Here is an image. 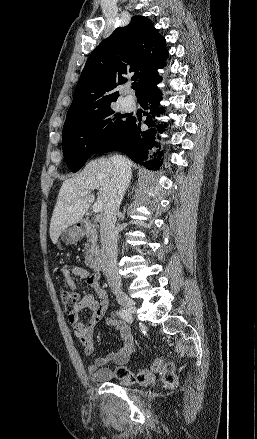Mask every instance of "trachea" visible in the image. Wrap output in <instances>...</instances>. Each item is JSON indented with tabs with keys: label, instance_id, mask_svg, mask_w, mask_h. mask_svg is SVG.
<instances>
[{
	"label": "trachea",
	"instance_id": "obj_1",
	"mask_svg": "<svg viewBox=\"0 0 257 439\" xmlns=\"http://www.w3.org/2000/svg\"><path fill=\"white\" fill-rule=\"evenodd\" d=\"M137 87H138V86H137V83H136V82L132 83V89L136 90Z\"/></svg>",
	"mask_w": 257,
	"mask_h": 439
}]
</instances>
